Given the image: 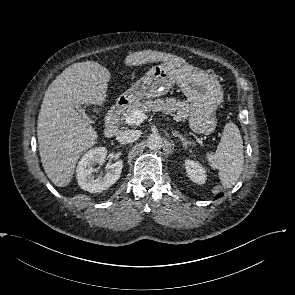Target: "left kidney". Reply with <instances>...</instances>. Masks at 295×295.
Segmentation results:
<instances>
[{"instance_id": "obj_1", "label": "left kidney", "mask_w": 295, "mask_h": 295, "mask_svg": "<svg viewBox=\"0 0 295 295\" xmlns=\"http://www.w3.org/2000/svg\"><path fill=\"white\" fill-rule=\"evenodd\" d=\"M185 169L187 175L193 182L198 184H204L206 182V171L198 162L186 159Z\"/></svg>"}]
</instances>
